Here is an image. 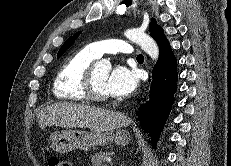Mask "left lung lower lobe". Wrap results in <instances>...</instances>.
Here are the masks:
<instances>
[{
    "instance_id": "0a47b994",
    "label": "left lung lower lobe",
    "mask_w": 231,
    "mask_h": 166,
    "mask_svg": "<svg viewBox=\"0 0 231 166\" xmlns=\"http://www.w3.org/2000/svg\"><path fill=\"white\" fill-rule=\"evenodd\" d=\"M154 40L159 46L160 55L153 69L150 101L140 107L138 116L143 130L152 131V145L155 147L174 102L178 72L177 60L164 32L162 31Z\"/></svg>"
}]
</instances>
